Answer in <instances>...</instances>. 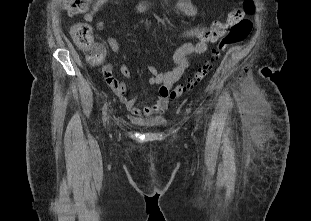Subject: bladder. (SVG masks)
Returning <instances> with one entry per match:
<instances>
[{"label": "bladder", "instance_id": "obj_1", "mask_svg": "<svg viewBox=\"0 0 311 221\" xmlns=\"http://www.w3.org/2000/svg\"><path fill=\"white\" fill-rule=\"evenodd\" d=\"M147 125L154 126L155 123L154 122L153 123H147Z\"/></svg>", "mask_w": 311, "mask_h": 221}]
</instances>
